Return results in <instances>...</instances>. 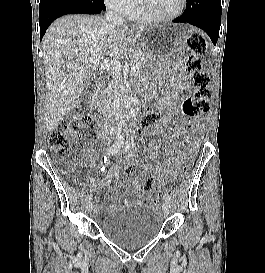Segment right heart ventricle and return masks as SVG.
<instances>
[{"mask_svg":"<svg viewBox=\"0 0 265 273\" xmlns=\"http://www.w3.org/2000/svg\"><path fill=\"white\" fill-rule=\"evenodd\" d=\"M127 15L131 19L136 20V21H141V22H148L149 21L140 7L139 0H137L136 5L127 13Z\"/></svg>","mask_w":265,"mask_h":273,"instance_id":"1","label":"right heart ventricle"}]
</instances>
